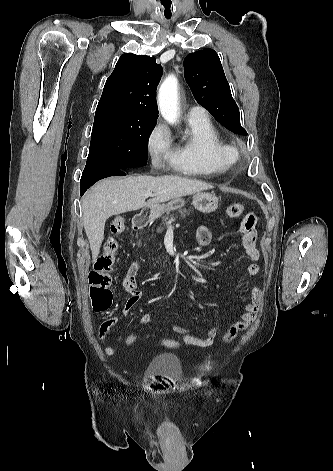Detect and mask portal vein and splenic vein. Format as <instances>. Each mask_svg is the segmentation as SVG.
<instances>
[{"label":"portal vein and splenic vein","mask_w":333,"mask_h":471,"mask_svg":"<svg viewBox=\"0 0 333 471\" xmlns=\"http://www.w3.org/2000/svg\"><path fill=\"white\" fill-rule=\"evenodd\" d=\"M146 196H147V197L153 196V193H152V192H148V193L146 194ZM173 221H174L173 219L170 220V221L168 222V224H171Z\"/></svg>","instance_id":"1"}]
</instances>
